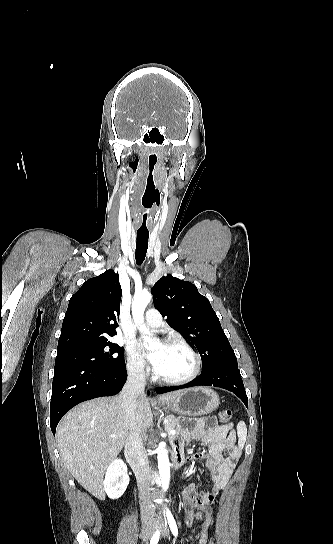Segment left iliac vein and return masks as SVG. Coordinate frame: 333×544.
Listing matches in <instances>:
<instances>
[{
	"label": "left iliac vein",
	"mask_w": 333,
	"mask_h": 544,
	"mask_svg": "<svg viewBox=\"0 0 333 544\" xmlns=\"http://www.w3.org/2000/svg\"><path fill=\"white\" fill-rule=\"evenodd\" d=\"M161 533H162V536H168V534H169L168 527H167V525H166V523L164 521L162 522Z\"/></svg>",
	"instance_id": "4c4485c4"
}]
</instances>
